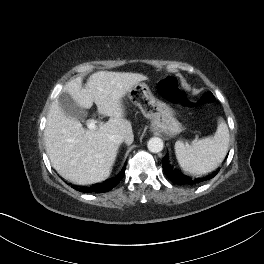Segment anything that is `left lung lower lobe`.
Segmentation results:
<instances>
[{
	"instance_id": "0a47b994",
	"label": "left lung lower lobe",
	"mask_w": 264,
	"mask_h": 264,
	"mask_svg": "<svg viewBox=\"0 0 264 264\" xmlns=\"http://www.w3.org/2000/svg\"><path fill=\"white\" fill-rule=\"evenodd\" d=\"M162 166H163V169H164L166 175L168 176V178L171 181H173L174 183L179 184V185H186V184L193 185V184H198V183H201L203 181H206V180L211 179L212 177H214L218 173V171H216V172H214L211 175H208L206 177L198 178V179H192V178L184 175L183 173H181L177 169H175L168 162L167 156H165L162 159Z\"/></svg>"
}]
</instances>
